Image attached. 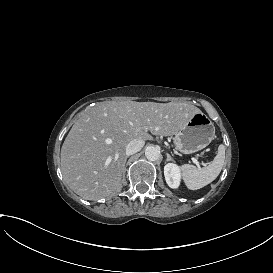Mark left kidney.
<instances>
[{
  "label": "left kidney",
  "instance_id": "obj_1",
  "mask_svg": "<svg viewBox=\"0 0 273 273\" xmlns=\"http://www.w3.org/2000/svg\"><path fill=\"white\" fill-rule=\"evenodd\" d=\"M166 183L172 189H179L182 181L181 167L175 163H167L164 166Z\"/></svg>",
  "mask_w": 273,
  "mask_h": 273
}]
</instances>
